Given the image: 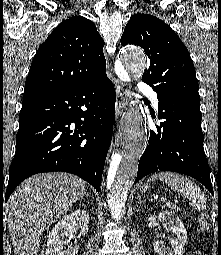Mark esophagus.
Here are the masks:
<instances>
[{"label":"esophagus","instance_id":"1","mask_svg":"<svg viewBox=\"0 0 221 255\" xmlns=\"http://www.w3.org/2000/svg\"><path fill=\"white\" fill-rule=\"evenodd\" d=\"M115 89H116V116L120 117L123 114L124 108L126 106V96L127 91L125 89V85L115 79Z\"/></svg>","mask_w":221,"mask_h":255}]
</instances>
